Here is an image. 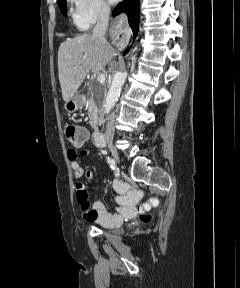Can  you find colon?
<instances>
[{
	"instance_id": "5ec220e1",
	"label": "colon",
	"mask_w": 240,
	"mask_h": 288,
	"mask_svg": "<svg viewBox=\"0 0 240 288\" xmlns=\"http://www.w3.org/2000/svg\"><path fill=\"white\" fill-rule=\"evenodd\" d=\"M63 131L65 134L66 139L72 145H78L85 141L86 135L85 130L82 127H78L70 122H65L63 124ZM142 221L146 222L149 220V216H141Z\"/></svg>"
}]
</instances>
